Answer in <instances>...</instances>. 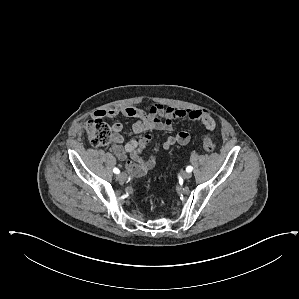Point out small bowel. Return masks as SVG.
<instances>
[{
  "label": "small bowel",
  "mask_w": 299,
  "mask_h": 299,
  "mask_svg": "<svg viewBox=\"0 0 299 299\" xmlns=\"http://www.w3.org/2000/svg\"><path fill=\"white\" fill-rule=\"evenodd\" d=\"M94 115L110 119L123 115L135 119L132 129L141 136L132 138L125 145H122L123 136L121 132L123 125L117 122L113 125L114 137L111 150L118 159L125 161L126 169L136 177L144 176L155 166L157 155L161 149L168 150L176 144L185 145L190 140V134L186 130L179 131L176 134H168L155 145L150 157L147 160H143L140 154L152 139V131L171 132L174 129V122L179 119L201 122L211 132L216 127L213 116L205 109L164 107L161 104H154L148 111L136 107H122L97 110ZM128 156L130 159H128Z\"/></svg>",
  "instance_id": "1"
}]
</instances>
